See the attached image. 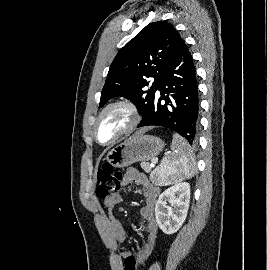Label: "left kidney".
Segmentation results:
<instances>
[{
	"mask_svg": "<svg viewBox=\"0 0 267 270\" xmlns=\"http://www.w3.org/2000/svg\"><path fill=\"white\" fill-rule=\"evenodd\" d=\"M189 202L190 185L187 182L176 183L159 196L155 216L158 226L165 234H174L179 230L186 219Z\"/></svg>",
	"mask_w": 267,
	"mask_h": 270,
	"instance_id": "left-kidney-1",
	"label": "left kidney"
}]
</instances>
